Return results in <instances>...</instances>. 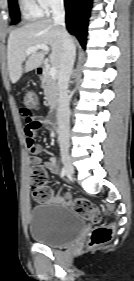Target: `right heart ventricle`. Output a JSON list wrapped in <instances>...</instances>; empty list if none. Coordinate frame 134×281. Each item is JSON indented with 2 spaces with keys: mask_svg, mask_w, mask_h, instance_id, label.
<instances>
[{
  "mask_svg": "<svg viewBox=\"0 0 134 281\" xmlns=\"http://www.w3.org/2000/svg\"><path fill=\"white\" fill-rule=\"evenodd\" d=\"M19 5L25 20H35L42 16V11L35 0H19Z\"/></svg>",
  "mask_w": 134,
  "mask_h": 281,
  "instance_id": "obj_1",
  "label": "right heart ventricle"
}]
</instances>
